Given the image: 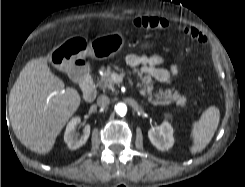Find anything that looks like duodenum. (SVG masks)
<instances>
[{"instance_id":"1","label":"duodenum","mask_w":245,"mask_h":187,"mask_svg":"<svg viewBox=\"0 0 245 187\" xmlns=\"http://www.w3.org/2000/svg\"><path fill=\"white\" fill-rule=\"evenodd\" d=\"M73 73L77 75L83 86V96L85 100L92 101L96 97V89L94 83L89 75L88 67L85 63L76 64L73 67Z\"/></svg>"}]
</instances>
